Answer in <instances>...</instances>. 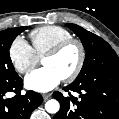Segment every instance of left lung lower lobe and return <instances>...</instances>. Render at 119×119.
<instances>
[{"mask_svg":"<svg viewBox=\"0 0 119 119\" xmlns=\"http://www.w3.org/2000/svg\"><path fill=\"white\" fill-rule=\"evenodd\" d=\"M65 91L79 93L80 99L54 92L60 111L54 119H119V68L105 69L88 79L74 81Z\"/></svg>","mask_w":119,"mask_h":119,"instance_id":"0a47b994","label":"left lung lower lobe"}]
</instances>
